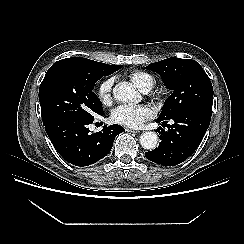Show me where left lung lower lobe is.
<instances>
[{"instance_id": "left-lung-lower-lobe-1", "label": "left lung lower lobe", "mask_w": 244, "mask_h": 244, "mask_svg": "<svg viewBox=\"0 0 244 244\" xmlns=\"http://www.w3.org/2000/svg\"><path fill=\"white\" fill-rule=\"evenodd\" d=\"M169 119L174 123L167 131L161 127L157 130L161 139L158 148L145 153L148 160L164 166L180 164L194 153L209 127L211 112L188 109L156 122L164 124Z\"/></svg>"}]
</instances>
